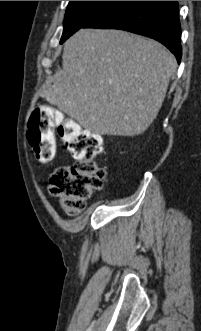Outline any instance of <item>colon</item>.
Masks as SVG:
<instances>
[{
	"mask_svg": "<svg viewBox=\"0 0 201 331\" xmlns=\"http://www.w3.org/2000/svg\"><path fill=\"white\" fill-rule=\"evenodd\" d=\"M55 129L75 162L54 171L49 189L67 214L77 215L86 208L93 193L103 187L106 170L96 161L103 150L102 140L60 111L39 107L29 120L27 136L40 162H50L55 156Z\"/></svg>",
	"mask_w": 201,
	"mask_h": 331,
	"instance_id": "obj_1",
	"label": "colon"
}]
</instances>
